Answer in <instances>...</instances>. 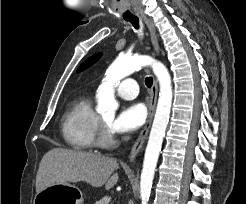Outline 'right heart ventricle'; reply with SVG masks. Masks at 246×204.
I'll return each mask as SVG.
<instances>
[{"label": "right heart ventricle", "instance_id": "obj_1", "mask_svg": "<svg viewBox=\"0 0 246 204\" xmlns=\"http://www.w3.org/2000/svg\"><path fill=\"white\" fill-rule=\"evenodd\" d=\"M98 122L99 116L88 97L74 99L62 120V134L67 145L80 151L95 148Z\"/></svg>", "mask_w": 246, "mask_h": 204}]
</instances>
